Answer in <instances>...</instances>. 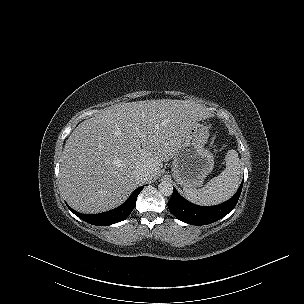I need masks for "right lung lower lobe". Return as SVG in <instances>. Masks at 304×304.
<instances>
[{"label": "right lung lower lobe", "instance_id": "obj_1", "mask_svg": "<svg viewBox=\"0 0 304 304\" xmlns=\"http://www.w3.org/2000/svg\"><path fill=\"white\" fill-rule=\"evenodd\" d=\"M143 187L144 186L137 188L121 206L100 214H81L70 208L68 205L67 206L76 216L87 223L99 226L111 225L123 221L130 215L131 211L135 207L136 199Z\"/></svg>", "mask_w": 304, "mask_h": 304}]
</instances>
